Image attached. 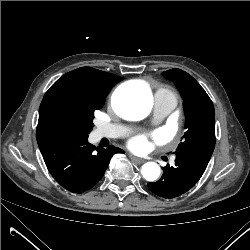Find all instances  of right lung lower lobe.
<instances>
[{
	"mask_svg": "<svg viewBox=\"0 0 250 250\" xmlns=\"http://www.w3.org/2000/svg\"><path fill=\"white\" fill-rule=\"evenodd\" d=\"M39 148L53 178L73 193H83L95 186L112 156L124 152L114 146L99 150L88 142V136L80 134L45 141Z\"/></svg>",
	"mask_w": 250,
	"mask_h": 250,
	"instance_id": "98d812e1",
	"label": "right lung lower lobe"
}]
</instances>
